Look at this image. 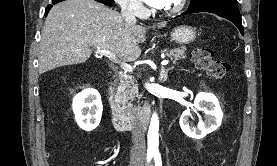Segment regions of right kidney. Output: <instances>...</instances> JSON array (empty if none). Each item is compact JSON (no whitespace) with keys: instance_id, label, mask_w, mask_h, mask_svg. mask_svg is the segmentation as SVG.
<instances>
[{"instance_id":"1","label":"right kidney","mask_w":277,"mask_h":166,"mask_svg":"<svg viewBox=\"0 0 277 166\" xmlns=\"http://www.w3.org/2000/svg\"><path fill=\"white\" fill-rule=\"evenodd\" d=\"M73 112L79 127L85 131L94 130L101 121L103 105L95 89H85L73 98Z\"/></svg>"}]
</instances>
